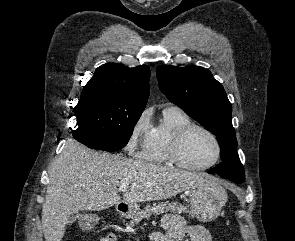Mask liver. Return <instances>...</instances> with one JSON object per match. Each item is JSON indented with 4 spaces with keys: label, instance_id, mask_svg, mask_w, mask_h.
Listing matches in <instances>:
<instances>
[{
    "label": "liver",
    "instance_id": "obj_1",
    "mask_svg": "<svg viewBox=\"0 0 295 241\" xmlns=\"http://www.w3.org/2000/svg\"><path fill=\"white\" fill-rule=\"evenodd\" d=\"M42 227L45 241H61L69 216L79 210L100 211L119 204V186L129 185L123 202L171 198L208 182L202 174L89 150L68 140L49 171Z\"/></svg>",
    "mask_w": 295,
    "mask_h": 241
}]
</instances>
